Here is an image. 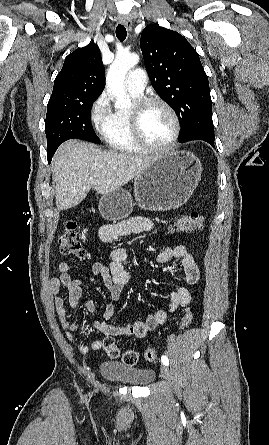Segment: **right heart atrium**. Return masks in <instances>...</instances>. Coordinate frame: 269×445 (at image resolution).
Returning <instances> with one entry per match:
<instances>
[{
    "mask_svg": "<svg viewBox=\"0 0 269 445\" xmlns=\"http://www.w3.org/2000/svg\"><path fill=\"white\" fill-rule=\"evenodd\" d=\"M111 115L109 97L106 92L100 94L92 103L90 117L97 128H101Z\"/></svg>",
    "mask_w": 269,
    "mask_h": 445,
    "instance_id": "1",
    "label": "right heart atrium"
}]
</instances>
